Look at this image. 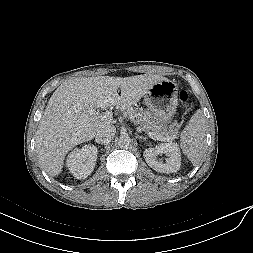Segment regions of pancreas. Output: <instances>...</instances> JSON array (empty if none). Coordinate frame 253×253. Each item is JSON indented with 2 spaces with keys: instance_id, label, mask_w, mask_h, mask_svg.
<instances>
[{
  "instance_id": "1",
  "label": "pancreas",
  "mask_w": 253,
  "mask_h": 253,
  "mask_svg": "<svg viewBox=\"0 0 253 253\" xmlns=\"http://www.w3.org/2000/svg\"><path fill=\"white\" fill-rule=\"evenodd\" d=\"M124 116L130 118L134 123L140 124L141 129L146 133L151 132L156 136L170 135L172 138H176L179 135L178 129L180 125L174 124L168 129L150 111L143 110L142 108H127L124 111Z\"/></svg>"
}]
</instances>
